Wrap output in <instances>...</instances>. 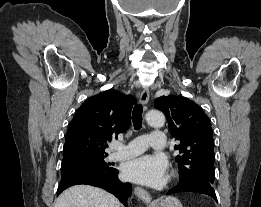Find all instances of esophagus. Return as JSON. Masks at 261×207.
I'll list each match as a JSON object with an SVG mask.
<instances>
[{"instance_id": "1", "label": "esophagus", "mask_w": 261, "mask_h": 207, "mask_svg": "<svg viewBox=\"0 0 261 207\" xmlns=\"http://www.w3.org/2000/svg\"><path fill=\"white\" fill-rule=\"evenodd\" d=\"M148 101H149V90L147 88H144L139 94V103L146 107ZM134 194L146 204L151 202L152 199L151 195L141 187H135Z\"/></svg>"}]
</instances>
